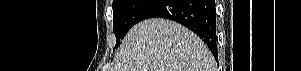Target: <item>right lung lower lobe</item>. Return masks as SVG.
I'll list each match as a JSON object with an SVG mask.
<instances>
[{"instance_id":"98d812e1","label":"right lung lower lobe","mask_w":301,"mask_h":71,"mask_svg":"<svg viewBox=\"0 0 301 71\" xmlns=\"http://www.w3.org/2000/svg\"><path fill=\"white\" fill-rule=\"evenodd\" d=\"M155 17L170 19L191 29L207 44L217 59L214 0H155L143 12L140 21Z\"/></svg>"}]
</instances>
